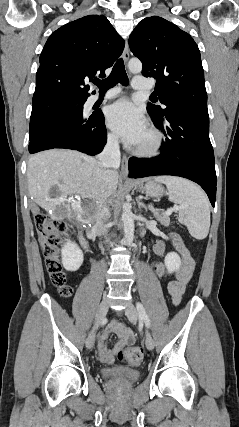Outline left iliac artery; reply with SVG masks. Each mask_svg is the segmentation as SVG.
<instances>
[{"label": "left iliac artery", "mask_w": 239, "mask_h": 427, "mask_svg": "<svg viewBox=\"0 0 239 427\" xmlns=\"http://www.w3.org/2000/svg\"><path fill=\"white\" fill-rule=\"evenodd\" d=\"M136 307H137V311H138L139 317L142 320H144L146 326L149 327L150 326V320H149V318H148V316H147V314L145 312V309H144L143 305L140 302H137Z\"/></svg>", "instance_id": "left-iliac-artery-1"}]
</instances>
